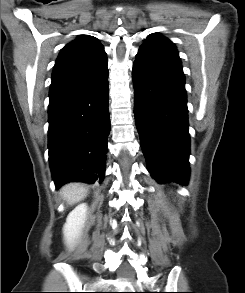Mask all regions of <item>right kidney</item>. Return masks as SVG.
I'll return each instance as SVG.
<instances>
[{
    "label": "right kidney",
    "mask_w": 245,
    "mask_h": 293,
    "mask_svg": "<svg viewBox=\"0 0 245 293\" xmlns=\"http://www.w3.org/2000/svg\"><path fill=\"white\" fill-rule=\"evenodd\" d=\"M87 216V205L79 204L67 216L63 227L64 240L68 246H72L75 239L80 235Z\"/></svg>",
    "instance_id": "ca27d5eb"
}]
</instances>
